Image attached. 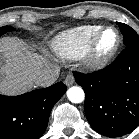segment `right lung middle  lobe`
<instances>
[{
	"instance_id": "right-lung-middle-lobe-1",
	"label": "right lung middle lobe",
	"mask_w": 139,
	"mask_h": 139,
	"mask_svg": "<svg viewBox=\"0 0 139 139\" xmlns=\"http://www.w3.org/2000/svg\"><path fill=\"white\" fill-rule=\"evenodd\" d=\"M11 30H14V28L8 27V26L0 27V36L3 35L4 33H6L7 31H11Z\"/></svg>"
}]
</instances>
